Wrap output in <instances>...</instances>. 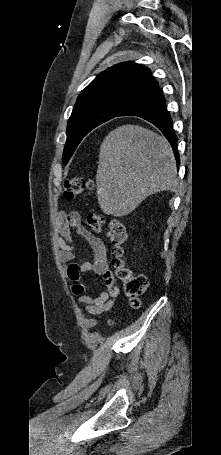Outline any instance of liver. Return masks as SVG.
<instances>
[{
  "mask_svg": "<svg viewBox=\"0 0 221 455\" xmlns=\"http://www.w3.org/2000/svg\"><path fill=\"white\" fill-rule=\"evenodd\" d=\"M176 176V160L163 136L138 125L119 126L100 146L98 203L107 215H128L148 196L175 190Z\"/></svg>",
  "mask_w": 221,
  "mask_h": 455,
  "instance_id": "liver-1",
  "label": "liver"
}]
</instances>
